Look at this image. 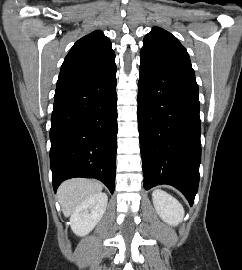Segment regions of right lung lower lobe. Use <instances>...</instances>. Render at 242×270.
I'll return each mask as SVG.
<instances>
[{"instance_id": "98d812e1", "label": "right lung lower lobe", "mask_w": 242, "mask_h": 270, "mask_svg": "<svg viewBox=\"0 0 242 270\" xmlns=\"http://www.w3.org/2000/svg\"><path fill=\"white\" fill-rule=\"evenodd\" d=\"M116 64L55 91L50 129L53 188L96 178L114 192L117 152Z\"/></svg>"}]
</instances>
